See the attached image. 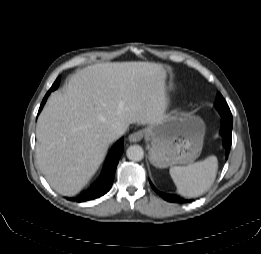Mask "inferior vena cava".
Returning a JSON list of instances; mask_svg holds the SVG:
<instances>
[{
    "label": "inferior vena cava",
    "mask_w": 261,
    "mask_h": 254,
    "mask_svg": "<svg viewBox=\"0 0 261 254\" xmlns=\"http://www.w3.org/2000/svg\"><path fill=\"white\" fill-rule=\"evenodd\" d=\"M120 129L118 128H113L108 134H107V140L109 142L113 141L116 137L119 136L120 134Z\"/></svg>",
    "instance_id": "inferior-vena-cava-1"
}]
</instances>
